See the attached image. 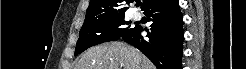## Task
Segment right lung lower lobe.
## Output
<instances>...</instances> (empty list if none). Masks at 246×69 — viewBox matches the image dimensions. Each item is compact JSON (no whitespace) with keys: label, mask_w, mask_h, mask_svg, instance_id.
Masks as SVG:
<instances>
[{"label":"right lung lower lobe","mask_w":246,"mask_h":69,"mask_svg":"<svg viewBox=\"0 0 246 69\" xmlns=\"http://www.w3.org/2000/svg\"><path fill=\"white\" fill-rule=\"evenodd\" d=\"M152 21L147 36H141V26H135L120 39L144 53L158 69H182V14L177 0H161L144 10Z\"/></svg>","instance_id":"obj_1"}]
</instances>
